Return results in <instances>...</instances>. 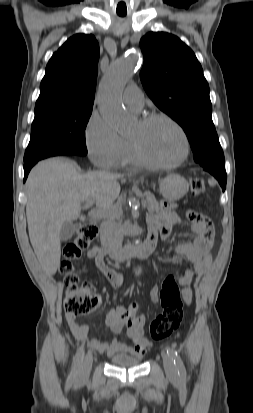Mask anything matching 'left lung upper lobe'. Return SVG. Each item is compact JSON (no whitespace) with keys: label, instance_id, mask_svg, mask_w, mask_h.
<instances>
[{"label":"left lung upper lobe","instance_id":"left-lung-upper-lobe-1","mask_svg":"<svg viewBox=\"0 0 253 413\" xmlns=\"http://www.w3.org/2000/svg\"><path fill=\"white\" fill-rule=\"evenodd\" d=\"M144 64L140 78L156 106L185 131L202 167H225L212 121L209 86L194 52L178 37L149 32L140 40Z\"/></svg>","mask_w":253,"mask_h":413}]
</instances>
